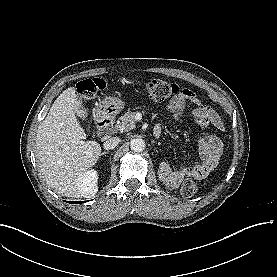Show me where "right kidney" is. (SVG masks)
I'll return each mask as SVG.
<instances>
[{
	"mask_svg": "<svg viewBox=\"0 0 277 277\" xmlns=\"http://www.w3.org/2000/svg\"><path fill=\"white\" fill-rule=\"evenodd\" d=\"M98 173L94 169L83 172L81 177L78 178L80 191L86 196H94L98 191L97 186Z\"/></svg>",
	"mask_w": 277,
	"mask_h": 277,
	"instance_id": "right-kidney-1",
	"label": "right kidney"
}]
</instances>
